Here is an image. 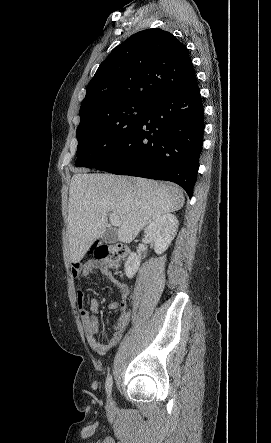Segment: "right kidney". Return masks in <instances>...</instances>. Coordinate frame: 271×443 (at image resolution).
Segmentation results:
<instances>
[{
	"instance_id": "ca27d5eb",
	"label": "right kidney",
	"mask_w": 271,
	"mask_h": 443,
	"mask_svg": "<svg viewBox=\"0 0 271 443\" xmlns=\"http://www.w3.org/2000/svg\"><path fill=\"white\" fill-rule=\"evenodd\" d=\"M179 222L174 214H162L158 216L157 220L149 223L145 227L146 235H149L150 239L154 241V249L156 253H163L170 245L172 239H174L178 231ZM140 259L139 255L135 251H131L127 261L125 263V273L127 277H133L137 269H139Z\"/></svg>"
}]
</instances>
